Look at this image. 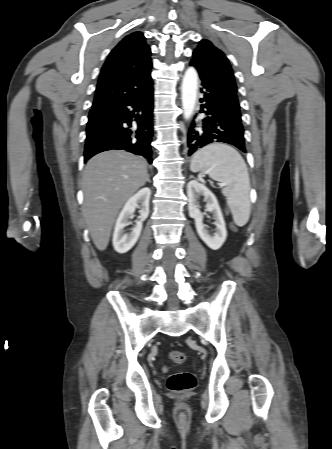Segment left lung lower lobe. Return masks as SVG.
I'll list each match as a JSON object with an SVG mask.
<instances>
[{"label":"left lung lower lobe","instance_id":"0a47b994","mask_svg":"<svg viewBox=\"0 0 332 449\" xmlns=\"http://www.w3.org/2000/svg\"><path fill=\"white\" fill-rule=\"evenodd\" d=\"M199 76L203 97L198 113L204 118L189 127L188 155L210 143H227L246 152L237 94L209 75L199 72Z\"/></svg>","mask_w":332,"mask_h":449}]
</instances>
